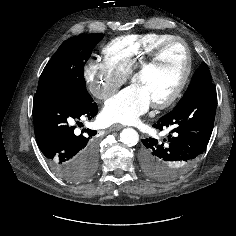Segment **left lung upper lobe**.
<instances>
[{"label":"left lung upper lobe","instance_id":"1","mask_svg":"<svg viewBox=\"0 0 236 236\" xmlns=\"http://www.w3.org/2000/svg\"><path fill=\"white\" fill-rule=\"evenodd\" d=\"M212 83V78L210 71L205 63H203L194 73V76L192 77L191 83L185 92L182 99L178 102V105H180L184 100H186L191 94H193L196 90L201 88L202 86Z\"/></svg>","mask_w":236,"mask_h":236}]
</instances>
